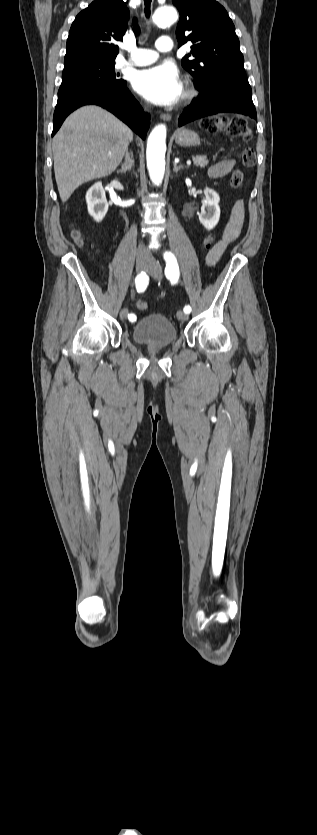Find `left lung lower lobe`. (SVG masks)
Masks as SVG:
<instances>
[{"label": "left lung lower lobe", "instance_id": "left-lung-lower-lobe-1", "mask_svg": "<svg viewBox=\"0 0 317 835\" xmlns=\"http://www.w3.org/2000/svg\"><path fill=\"white\" fill-rule=\"evenodd\" d=\"M198 89V97L179 117V126L217 113H238L257 119L252 90L245 72L220 73L211 86Z\"/></svg>", "mask_w": 317, "mask_h": 835}]
</instances>
